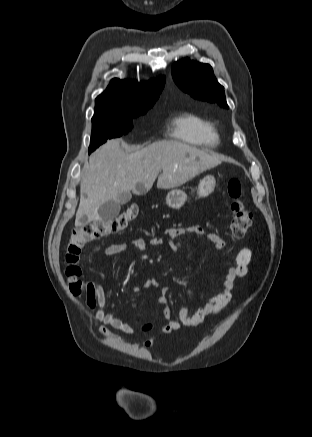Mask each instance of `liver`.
<instances>
[{
    "label": "liver",
    "mask_w": 312,
    "mask_h": 437,
    "mask_svg": "<svg viewBox=\"0 0 312 437\" xmlns=\"http://www.w3.org/2000/svg\"><path fill=\"white\" fill-rule=\"evenodd\" d=\"M121 143V139H111L90 156L80 183L75 226L99 220V207L109 200L117 201L120 193L132 190L139 194L138 184L142 193L148 192L161 170L157 188L169 189L222 162L217 154L174 140L157 141L130 154Z\"/></svg>",
    "instance_id": "liver-1"
}]
</instances>
